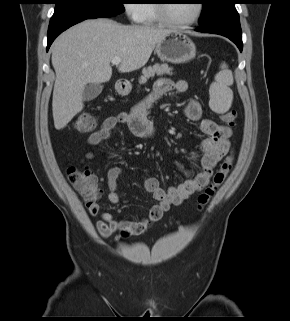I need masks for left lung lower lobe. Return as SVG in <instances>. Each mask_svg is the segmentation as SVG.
<instances>
[{
  "label": "left lung lower lobe",
  "instance_id": "left-lung-lower-lobe-1",
  "mask_svg": "<svg viewBox=\"0 0 290 321\" xmlns=\"http://www.w3.org/2000/svg\"><path fill=\"white\" fill-rule=\"evenodd\" d=\"M197 31L225 36L233 41L242 52V31L237 10L232 11L210 24L200 26Z\"/></svg>",
  "mask_w": 290,
  "mask_h": 321
}]
</instances>
